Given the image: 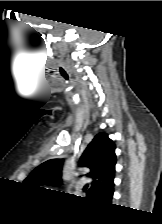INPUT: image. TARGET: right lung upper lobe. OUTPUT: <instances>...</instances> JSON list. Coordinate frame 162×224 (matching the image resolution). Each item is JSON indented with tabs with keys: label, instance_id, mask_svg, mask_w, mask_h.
Masks as SVG:
<instances>
[{
	"label": "right lung upper lobe",
	"instance_id": "obj_1",
	"mask_svg": "<svg viewBox=\"0 0 162 224\" xmlns=\"http://www.w3.org/2000/svg\"><path fill=\"white\" fill-rule=\"evenodd\" d=\"M115 144L107 134H97L88 145L79 161V166L88 167L91 178L88 196L107 202L105 198L114 192L115 176ZM63 159L48 160L25 179L24 183L38 187L44 184L57 185L61 183Z\"/></svg>",
	"mask_w": 162,
	"mask_h": 224
}]
</instances>
